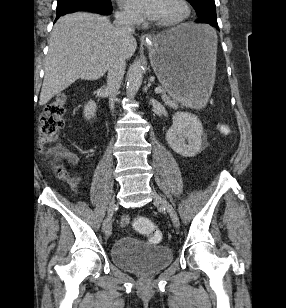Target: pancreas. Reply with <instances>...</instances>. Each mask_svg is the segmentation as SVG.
<instances>
[{
  "label": "pancreas",
  "instance_id": "cf45deb5",
  "mask_svg": "<svg viewBox=\"0 0 286 308\" xmlns=\"http://www.w3.org/2000/svg\"><path fill=\"white\" fill-rule=\"evenodd\" d=\"M161 97H162V99H163L166 103H168V105H175L176 102L178 101V100H175V99L171 100V99H170V95H168V94L166 93V89L163 90Z\"/></svg>",
  "mask_w": 286,
  "mask_h": 308
}]
</instances>
